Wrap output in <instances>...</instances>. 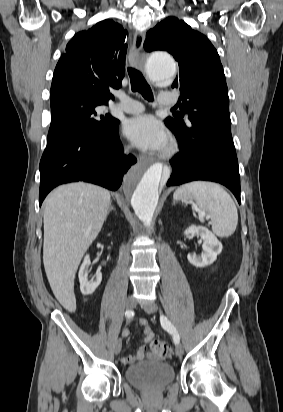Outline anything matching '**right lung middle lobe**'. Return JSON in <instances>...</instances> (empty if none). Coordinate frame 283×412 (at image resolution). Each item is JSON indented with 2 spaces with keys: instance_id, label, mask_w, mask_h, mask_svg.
<instances>
[{
  "instance_id": "obj_1",
  "label": "right lung middle lobe",
  "mask_w": 283,
  "mask_h": 412,
  "mask_svg": "<svg viewBox=\"0 0 283 412\" xmlns=\"http://www.w3.org/2000/svg\"><path fill=\"white\" fill-rule=\"evenodd\" d=\"M101 106L97 103H76L62 114L51 115L47 141L58 134H71L83 129L95 133L109 130L118 120L102 113Z\"/></svg>"
}]
</instances>
